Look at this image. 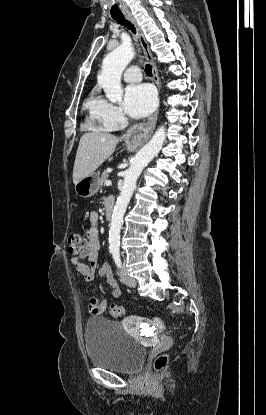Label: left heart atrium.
Returning <instances> with one entry per match:
<instances>
[{
    "label": "left heart atrium",
    "instance_id": "39dd6f15",
    "mask_svg": "<svg viewBox=\"0 0 266 415\" xmlns=\"http://www.w3.org/2000/svg\"><path fill=\"white\" fill-rule=\"evenodd\" d=\"M156 93L149 84H136L126 88L123 107L132 118H142L156 107Z\"/></svg>",
    "mask_w": 266,
    "mask_h": 415
}]
</instances>
